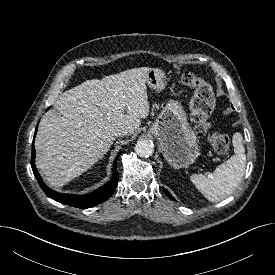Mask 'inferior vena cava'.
Masks as SVG:
<instances>
[{"label": "inferior vena cava", "mask_w": 275, "mask_h": 275, "mask_svg": "<svg viewBox=\"0 0 275 275\" xmlns=\"http://www.w3.org/2000/svg\"><path fill=\"white\" fill-rule=\"evenodd\" d=\"M127 133H128V131L126 129L122 128V129L117 130L115 135L116 136H125V135H127Z\"/></svg>", "instance_id": "inferior-vena-cava-1"}]
</instances>
